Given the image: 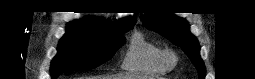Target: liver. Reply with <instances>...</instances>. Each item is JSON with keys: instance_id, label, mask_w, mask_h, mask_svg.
Returning <instances> with one entry per match:
<instances>
[{"instance_id": "obj_1", "label": "liver", "mask_w": 255, "mask_h": 79, "mask_svg": "<svg viewBox=\"0 0 255 79\" xmlns=\"http://www.w3.org/2000/svg\"><path fill=\"white\" fill-rule=\"evenodd\" d=\"M147 77L132 76V75H115V76H95L85 79H146Z\"/></svg>"}]
</instances>
